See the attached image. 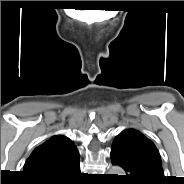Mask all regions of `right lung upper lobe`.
<instances>
[{"mask_svg":"<svg viewBox=\"0 0 184 184\" xmlns=\"http://www.w3.org/2000/svg\"><path fill=\"white\" fill-rule=\"evenodd\" d=\"M77 159L79 153L74 143L63 135H56L32 152L24 172L33 180L54 178Z\"/></svg>","mask_w":184,"mask_h":184,"instance_id":"obj_1","label":"right lung upper lobe"}]
</instances>
